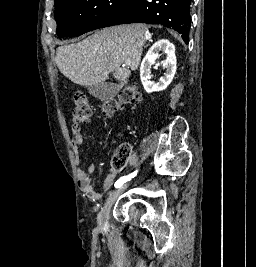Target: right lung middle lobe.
Segmentation results:
<instances>
[{
	"label": "right lung middle lobe",
	"mask_w": 256,
	"mask_h": 267,
	"mask_svg": "<svg viewBox=\"0 0 256 267\" xmlns=\"http://www.w3.org/2000/svg\"><path fill=\"white\" fill-rule=\"evenodd\" d=\"M136 0H59L55 2L57 35L79 36L103 27Z\"/></svg>",
	"instance_id": "obj_1"
}]
</instances>
